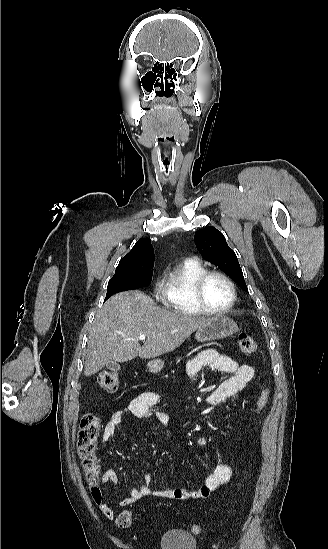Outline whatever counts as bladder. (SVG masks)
<instances>
[{
  "instance_id": "31cf9c89",
  "label": "bladder",
  "mask_w": 328,
  "mask_h": 549,
  "mask_svg": "<svg viewBox=\"0 0 328 549\" xmlns=\"http://www.w3.org/2000/svg\"><path fill=\"white\" fill-rule=\"evenodd\" d=\"M161 549H196L195 536H188L176 529L161 536Z\"/></svg>"
}]
</instances>
